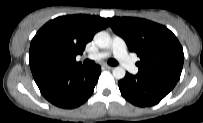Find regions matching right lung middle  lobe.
Here are the masks:
<instances>
[{"instance_id":"dd1d6c3e","label":"right lung middle lobe","mask_w":203,"mask_h":123,"mask_svg":"<svg viewBox=\"0 0 203 123\" xmlns=\"http://www.w3.org/2000/svg\"><path fill=\"white\" fill-rule=\"evenodd\" d=\"M31 71L62 67L61 51L51 45H39L29 52Z\"/></svg>"}]
</instances>
